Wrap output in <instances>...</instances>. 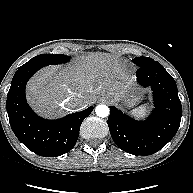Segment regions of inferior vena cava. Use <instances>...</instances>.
Listing matches in <instances>:
<instances>
[{
    "label": "inferior vena cava",
    "mask_w": 193,
    "mask_h": 193,
    "mask_svg": "<svg viewBox=\"0 0 193 193\" xmlns=\"http://www.w3.org/2000/svg\"><path fill=\"white\" fill-rule=\"evenodd\" d=\"M66 102L72 108H82L85 105V100L80 96H72Z\"/></svg>",
    "instance_id": "1"
}]
</instances>
